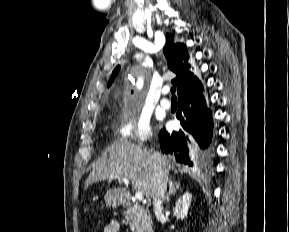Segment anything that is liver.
Wrapping results in <instances>:
<instances>
[{
	"label": "liver",
	"mask_w": 289,
	"mask_h": 232,
	"mask_svg": "<svg viewBox=\"0 0 289 232\" xmlns=\"http://www.w3.org/2000/svg\"><path fill=\"white\" fill-rule=\"evenodd\" d=\"M107 151L109 158L103 159L96 165L85 182V188L111 177L118 181L127 178L131 180L134 189L142 191L147 199L151 198L155 152L143 148L142 144L136 145L125 139L115 140ZM160 156L162 166L169 171L170 159Z\"/></svg>",
	"instance_id": "6515ba94"
}]
</instances>
